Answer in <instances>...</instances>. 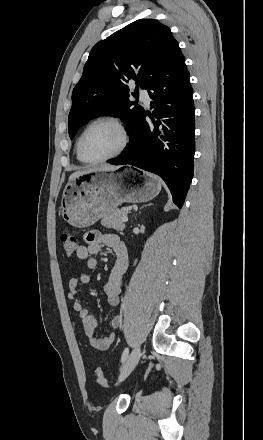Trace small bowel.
I'll return each mask as SVG.
<instances>
[{
    "mask_svg": "<svg viewBox=\"0 0 263 440\" xmlns=\"http://www.w3.org/2000/svg\"><path fill=\"white\" fill-rule=\"evenodd\" d=\"M84 245L77 247V258L84 261L88 269L97 266L96 255L100 252L101 246L110 247L115 254V262L104 286L107 302L110 306H117L120 301V294L128 269L127 248L121 238L114 233H102L100 231H89L84 236ZM91 281V275L83 272L78 276L72 277L69 281L68 297L73 302V308L77 312L85 337L90 347L96 351L108 349L116 340V333L110 332L103 338H98L95 334L98 321L96 317L84 306L78 287L80 284H87ZM121 319L115 316L111 325L115 329L120 325Z\"/></svg>",
    "mask_w": 263,
    "mask_h": 440,
    "instance_id": "c3829d8e",
    "label": "small bowel"
}]
</instances>
